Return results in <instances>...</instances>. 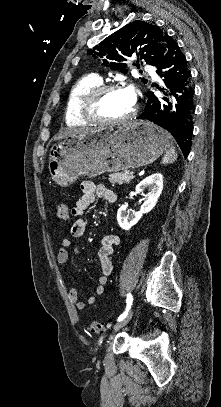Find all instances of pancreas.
<instances>
[{"label":"pancreas","mask_w":221,"mask_h":407,"mask_svg":"<svg viewBox=\"0 0 221 407\" xmlns=\"http://www.w3.org/2000/svg\"><path fill=\"white\" fill-rule=\"evenodd\" d=\"M133 179V176L129 171L125 170L121 173H113L109 175V181L111 183H118L120 185L129 183Z\"/></svg>","instance_id":"1"}]
</instances>
